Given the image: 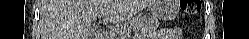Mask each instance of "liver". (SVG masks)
Instances as JSON below:
<instances>
[{
    "label": "liver",
    "instance_id": "liver-1",
    "mask_svg": "<svg viewBox=\"0 0 249 39\" xmlns=\"http://www.w3.org/2000/svg\"><path fill=\"white\" fill-rule=\"evenodd\" d=\"M153 0H43L40 6L42 39H90L97 17L105 24L122 23Z\"/></svg>",
    "mask_w": 249,
    "mask_h": 39
}]
</instances>
